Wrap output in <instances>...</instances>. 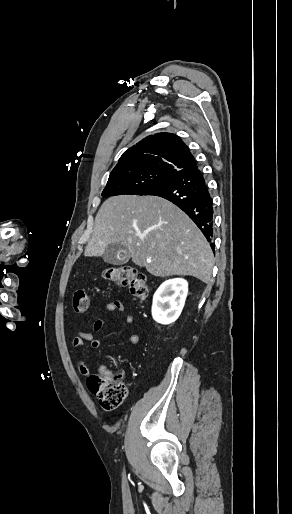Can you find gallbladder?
I'll list each match as a JSON object with an SVG mask.
<instances>
[{"mask_svg":"<svg viewBox=\"0 0 292 514\" xmlns=\"http://www.w3.org/2000/svg\"><path fill=\"white\" fill-rule=\"evenodd\" d=\"M102 258L107 264L122 266V264L128 262L130 254L120 242H115V244H108L104 254H102Z\"/></svg>","mask_w":292,"mask_h":514,"instance_id":"gallbladder-1","label":"gallbladder"}]
</instances>
